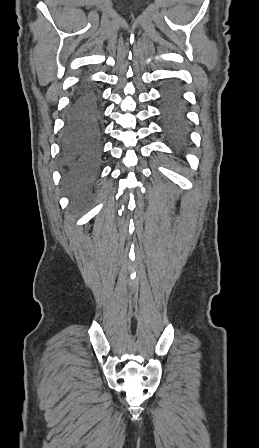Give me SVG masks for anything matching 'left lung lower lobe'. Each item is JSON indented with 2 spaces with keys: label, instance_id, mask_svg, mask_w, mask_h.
Here are the masks:
<instances>
[{
  "label": "left lung lower lobe",
  "instance_id": "left-lung-lower-lobe-1",
  "mask_svg": "<svg viewBox=\"0 0 259 448\" xmlns=\"http://www.w3.org/2000/svg\"><path fill=\"white\" fill-rule=\"evenodd\" d=\"M161 113L165 134L176 148L182 149L188 140V124L182 96L175 85L164 89Z\"/></svg>",
  "mask_w": 259,
  "mask_h": 448
}]
</instances>
